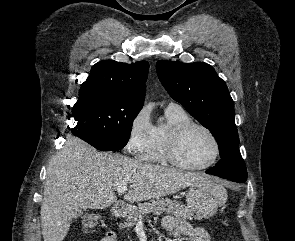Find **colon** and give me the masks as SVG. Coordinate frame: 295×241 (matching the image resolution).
<instances>
[{"instance_id":"colon-1","label":"colon","mask_w":295,"mask_h":241,"mask_svg":"<svg viewBox=\"0 0 295 241\" xmlns=\"http://www.w3.org/2000/svg\"><path fill=\"white\" fill-rule=\"evenodd\" d=\"M98 219L94 216H89L85 219L84 221V226L87 229L92 228L96 223H97Z\"/></svg>"}]
</instances>
